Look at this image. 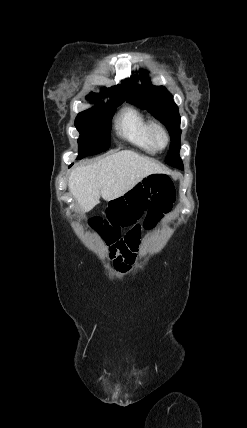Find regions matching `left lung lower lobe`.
<instances>
[{
  "label": "left lung lower lobe",
  "instance_id": "left-lung-lower-lobe-1",
  "mask_svg": "<svg viewBox=\"0 0 247 428\" xmlns=\"http://www.w3.org/2000/svg\"><path fill=\"white\" fill-rule=\"evenodd\" d=\"M177 168H179V169L183 170V166H179V167H177Z\"/></svg>",
  "mask_w": 247,
  "mask_h": 428
}]
</instances>
